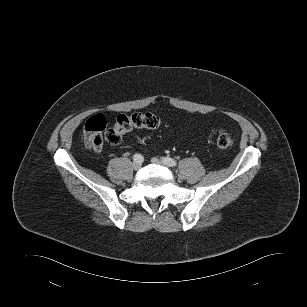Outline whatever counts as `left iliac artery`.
I'll use <instances>...</instances> for the list:
<instances>
[{"label": "left iliac artery", "instance_id": "left-iliac-artery-1", "mask_svg": "<svg viewBox=\"0 0 307 307\" xmlns=\"http://www.w3.org/2000/svg\"><path fill=\"white\" fill-rule=\"evenodd\" d=\"M162 161L170 167H174L177 165V162L174 159L169 158V157H163Z\"/></svg>", "mask_w": 307, "mask_h": 307}]
</instances>
